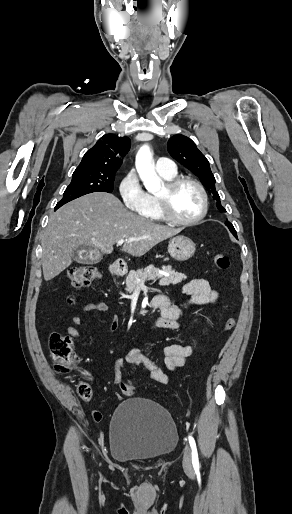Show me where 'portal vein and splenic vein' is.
<instances>
[{
    "label": "portal vein and splenic vein",
    "mask_w": 292,
    "mask_h": 514,
    "mask_svg": "<svg viewBox=\"0 0 292 514\" xmlns=\"http://www.w3.org/2000/svg\"><path fill=\"white\" fill-rule=\"evenodd\" d=\"M124 242H127V240H119V242H117L118 246H122V244H124Z\"/></svg>",
    "instance_id": "portal-vein-and-splenic-vein-1"
}]
</instances>
